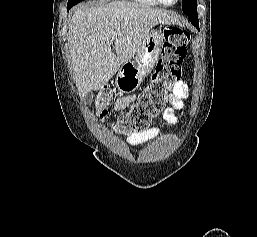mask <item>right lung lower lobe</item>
Returning a JSON list of instances; mask_svg holds the SVG:
<instances>
[{"instance_id": "obj_1", "label": "right lung lower lobe", "mask_w": 257, "mask_h": 237, "mask_svg": "<svg viewBox=\"0 0 257 237\" xmlns=\"http://www.w3.org/2000/svg\"><path fill=\"white\" fill-rule=\"evenodd\" d=\"M70 8H71V7H67V10L69 11Z\"/></svg>"}]
</instances>
